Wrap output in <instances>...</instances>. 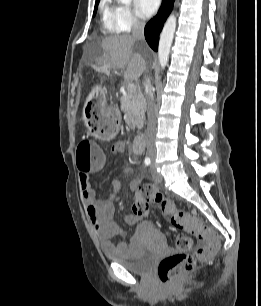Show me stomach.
Segmentation results:
<instances>
[{
  "instance_id": "stomach-1",
  "label": "stomach",
  "mask_w": 261,
  "mask_h": 306,
  "mask_svg": "<svg viewBox=\"0 0 261 306\" xmlns=\"http://www.w3.org/2000/svg\"><path fill=\"white\" fill-rule=\"evenodd\" d=\"M109 119L110 113L108 112L105 93L102 89H97L85 101L83 107L84 123L93 132V135L99 137V126Z\"/></svg>"
}]
</instances>
